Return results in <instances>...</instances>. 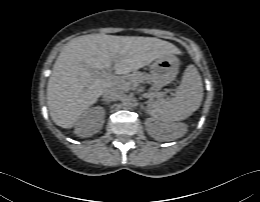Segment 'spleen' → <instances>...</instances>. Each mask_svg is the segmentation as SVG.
I'll return each instance as SVG.
<instances>
[{"label":"spleen","instance_id":"spleen-1","mask_svg":"<svg viewBox=\"0 0 260 202\" xmlns=\"http://www.w3.org/2000/svg\"><path fill=\"white\" fill-rule=\"evenodd\" d=\"M203 99L202 80L194 65H189L182 77L174 98L150 101L147 112L156 121L170 123L188 118L201 105ZM183 135L182 129L173 139Z\"/></svg>","mask_w":260,"mask_h":202}]
</instances>
